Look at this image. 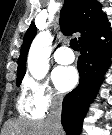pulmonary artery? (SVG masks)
Returning <instances> with one entry per match:
<instances>
[{
    "instance_id": "obj_1",
    "label": "pulmonary artery",
    "mask_w": 112,
    "mask_h": 135,
    "mask_svg": "<svg viewBox=\"0 0 112 135\" xmlns=\"http://www.w3.org/2000/svg\"><path fill=\"white\" fill-rule=\"evenodd\" d=\"M74 59V54L68 47H60L54 53V60L62 65L70 64Z\"/></svg>"
}]
</instances>
